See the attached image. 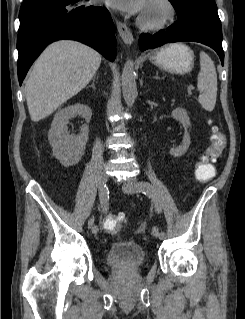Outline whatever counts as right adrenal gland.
Listing matches in <instances>:
<instances>
[{
	"label": "right adrenal gland",
	"mask_w": 245,
	"mask_h": 319,
	"mask_svg": "<svg viewBox=\"0 0 245 319\" xmlns=\"http://www.w3.org/2000/svg\"><path fill=\"white\" fill-rule=\"evenodd\" d=\"M97 76L95 75L93 78V82L92 85H90L89 87H92L93 89H95V80H96Z\"/></svg>",
	"instance_id": "1"
}]
</instances>
